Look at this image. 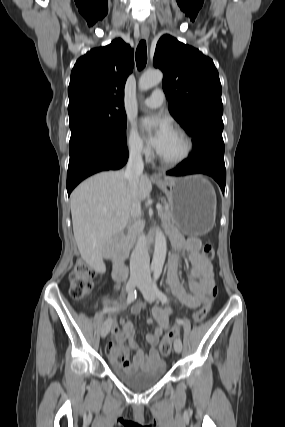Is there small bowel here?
I'll return each mask as SVG.
<instances>
[{"mask_svg": "<svg viewBox=\"0 0 285 427\" xmlns=\"http://www.w3.org/2000/svg\"><path fill=\"white\" fill-rule=\"evenodd\" d=\"M172 243L176 252L171 256L168 266L167 275V291L175 303H178L186 308L195 309L199 307L206 299L214 286V273L211 262L205 259L200 254L201 241L196 237L184 239L177 232L172 231ZM185 252L191 264L188 285L178 276V267L180 254ZM120 282L119 279H116ZM103 304L109 311L119 310L116 305H112L107 301ZM146 307L145 302H138L131 308V315L139 314ZM173 309L162 308L155 306L152 310V318L147 319V323L156 322L157 326L153 333H148L145 336L147 344L150 346L148 353H145L135 341V329L129 318L120 319L118 326L113 318H109L112 324V333L115 336V341L110 342L107 346V351L110 361L116 366L128 368L130 370L143 367H157L162 363V360L157 351V344L163 333L170 328V316ZM128 341L129 347L134 351L133 359L130 360L128 351L124 348V341ZM122 354L123 362H118L117 357Z\"/></svg>", "mask_w": 285, "mask_h": 427, "instance_id": "c3829d8e", "label": "small bowel"}]
</instances>
